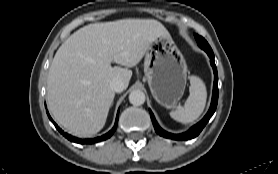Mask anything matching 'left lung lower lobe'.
Listing matches in <instances>:
<instances>
[{
  "label": "left lung lower lobe",
  "instance_id": "left-lung-lower-lobe-1",
  "mask_svg": "<svg viewBox=\"0 0 278 174\" xmlns=\"http://www.w3.org/2000/svg\"><path fill=\"white\" fill-rule=\"evenodd\" d=\"M206 53L208 54V56L210 57V63L213 67L214 70V85H213V95H212V101H211V105L209 108V111L207 112V114L205 115V117L196 125H194L193 127H191L187 132L182 133V134H171L168 133L166 131H164L157 123V121L155 120V117L153 115V113L150 110V116L153 122V126L155 128V131L157 134H159L160 136H163L165 138H170V139H174V140H190L192 138H195L196 136L199 135V133L202 131V129L205 127V125L207 124V122L210 120V118L212 117V115L214 114L216 107H217V102H218V74H217V68L214 62V54L212 50H205Z\"/></svg>",
  "mask_w": 278,
  "mask_h": 174
}]
</instances>
